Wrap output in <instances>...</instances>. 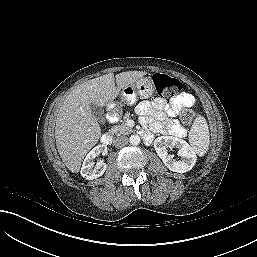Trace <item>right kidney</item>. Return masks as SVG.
I'll return each instance as SVG.
<instances>
[{
  "mask_svg": "<svg viewBox=\"0 0 257 257\" xmlns=\"http://www.w3.org/2000/svg\"><path fill=\"white\" fill-rule=\"evenodd\" d=\"M107 152V147L105 145H98L94 147L85 157L84 162L81 167V176L87 180H93L102 176L106 170V164L103 160L97 162L95 165L94 159Z\"/></svg>",
  "mask_w": 257,
  "mask_h": 257,
  "instance_id": "right-kidney-1",
  "label": "right kidney"
}]
</instances>
